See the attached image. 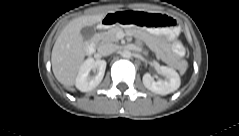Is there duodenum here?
Listing matches in <instances>:
<instances>
[{
    "mask_svg": "<svg viewBox=\"0 0 239 136\" xmlns=\"http://www.w3.org/2000/svg\"><path fill=\"white\" fill-rule=\"evenodd\" d=\"M116 21L117 20H116V17L114 15H109L102 21V24L103 25H110V24L115 23ZM95 49H96V42H90L86 45V53L88 55H92L95 52Z\"/></svg>",
    "mask_w": 239,
    "mask_h": 136,
    "instance_id": "duodenum-1",
    "label": "duodenum"
}]
</instances>
